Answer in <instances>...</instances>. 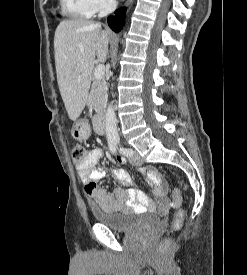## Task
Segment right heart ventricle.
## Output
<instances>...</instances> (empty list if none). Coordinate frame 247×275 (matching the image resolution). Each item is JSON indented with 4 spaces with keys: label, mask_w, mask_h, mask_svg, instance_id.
Returning <instances> with one entry per match:
<instances>
[{
    "label": "right heart ventricle",
    "mask_w": 247,
    "mask_h": 275,
    "mask_svg": "<svg viewBox=\"0 0 247 275\" xmlns=\"http://www.w3.org/2000/svg\"><path fill=\"white\" fill-rule=\"evenodd\" d=\"M63 14L72 19H89L95 13L94 0H60Z\"/></svg>",
    "instance_id": "1"
}]
</instances>
